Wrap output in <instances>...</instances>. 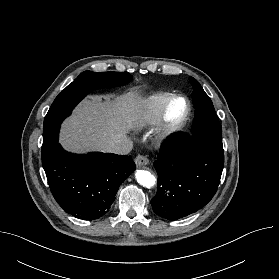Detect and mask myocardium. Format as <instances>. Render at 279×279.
Returning <instances> with one entry per match:
<instances>
[{"instance_id":"f54148a6","label":"myocardium","mask_w":279,"mask_h":279,"mask_svg":"<svg viewBox=\"0 0 279 279\" xmlns=\"http://www.w3.org/2000/svg\"><path fill=\"white\" fill-rule=\"evenodd\" d=\"M178 99H182L186 104V110L183 115V117L178 120L177 122H169L167 119V113L169 110V107L171 104ZM191 114V103L189 99L184 95H173L171 98L167 100V102L164 104L158 122L156 124L155 133H154V141L161 145L171 138H173L175 135H177L179 132L183 130V128L186 126Z\"/></svg>"}]
</instances>
